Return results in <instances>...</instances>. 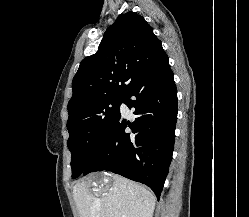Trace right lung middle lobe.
Here are the masks:
<instances>
[{
	"mask_svg": "<svg viewBox=\"0 0 249 217\" xmlns=\"http://www.w3.org/2000/svg\"><path fill=\"white\" fill-rule=\"evenodd\" d=\"M124 97L92 102L69 115L67 146L72 154V178L82 175L86 161L120 115Z\"/></svg>",
	"mask_w": 249,
	"mask_h": 217,
	"instance_id": "right-lung-middle-lobe-1",
	"label": "right lung middle lobe"
}]
</instances>
